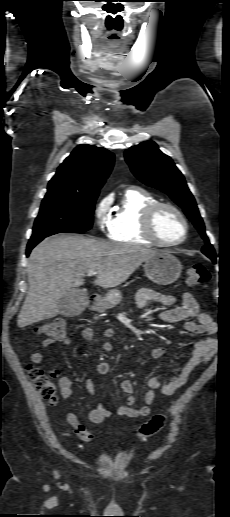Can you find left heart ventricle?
<instances>
[{
    "instance_id": "left-heart-ventricle-1",
    "label": "left heart ventricle",
    "mask_w": 230,
    "mask_h": 517,
    "mask_svg": "<svg viewBox=\"0 0 230 517\" xmlns=\"http://www.w3.org/2000/svg\"><path fill=\"white\" fill-rule=\"evenodd\" d=\"M155 229L158 236L167 242L179 240L184 233V226L180 218L171 210L163 209L159 212Z\"/></svg>"
}]
</instances>
